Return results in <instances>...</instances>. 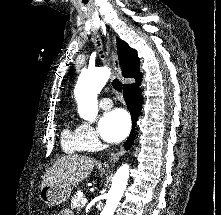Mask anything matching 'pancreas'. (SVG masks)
Masks as SVG:
<instances>
[{"label":"pancreas","instance_id":"cf45deb5","mask_svg":"<svg viewBox=\"0 0 221 215\" xmlns=\"http://www.w3.org/2000/svg\"><path fill=\"white\" fill-rule=\"evenodd\" d=\"M81 196H80V192H77L76 194H74V196L71 199V208L72 209H76L80 206V202H81Z\"/></svg>","mask_w":221,"mask_h":215}]
</instances>
